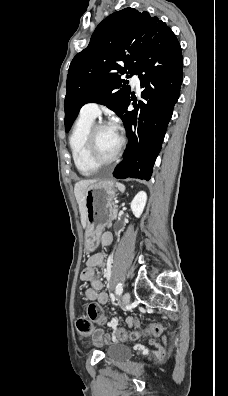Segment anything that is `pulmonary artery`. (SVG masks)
<instances>
[{
	"label": "pulmonary artery",
	"instance_id": "1",
	"mask_svg": "<svg viewBox=\"0 0 228 396\" xmlns=\"http://www.w3.org/2000/svg\"><path fill=\"white\" fill-rule=\"evenodd\" d=\"M130 83L136 90H140V79L138 75L134 74L131 79ZM81 114L84 116L96 118L100 114L99 105L97 103L91 102L85 104L81 109Z\"/></svg>",
	"mask_w": 228,
	"mask_h": 396
}]
</instances>
